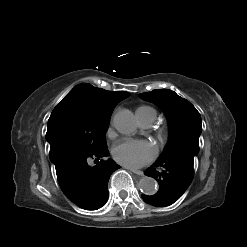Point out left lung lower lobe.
I'll use <instances>...</instances> for the list:
<instances>
[{
	"instance_id": "left-lung-lower-lobe-1",
	"label": "left lung lower lobe",
	"mask_w": 247,
	"mask_h": 247,
	"mask_svg": "<svg viewBox=\"0 0 247 247\" xmlns=\"http://www.w3.org/2000/svg\"><path fill=\"white\" fill-rule=\"evenodd\" d=\"M194 156L175 153L160 157L144 174L153 177L160 185L159 191L152 196L142 194L145 202L153 206H169L178 200L193 179Z\"/></svg>"
}]
</instances>
